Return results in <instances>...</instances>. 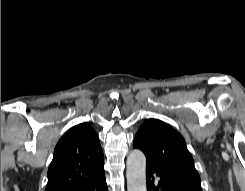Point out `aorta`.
Segmentation results:
<instances>
[{"label":"aorta","instance_id":"762f6f07","mask_svg":"<svg viewBox=\"0 0 245 191\" xmlns=\"http://www.w3.org/2000/svg\"><path fill=\"white\" fill-rule=\"evenodd\" d=\"M127 191H147L146 158L140 150H133L127 157Z\"/></svg>","mask_w":245,"mask_h":191}]
</instances>
